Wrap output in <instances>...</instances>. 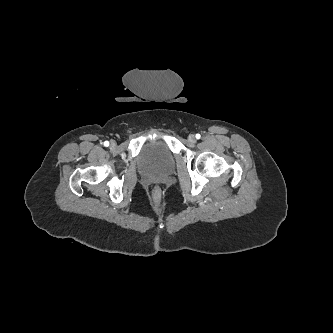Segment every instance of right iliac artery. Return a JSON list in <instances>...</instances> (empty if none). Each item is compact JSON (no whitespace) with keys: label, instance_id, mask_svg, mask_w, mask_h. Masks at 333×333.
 I'll list each match as a JSON object with an SVG mask.
<instances>
[{"label":"right iliac artery","instance_id":"obj_1","mask_svg":"<svg viewBox=\"0 0 333 333\" xmlns=\"http://www.w3.org/2000/svg\"><path fill=\"white\" fill-rule=\"evenodd\" d=\"M104 146L108 147V146H109V142H108V141H105V142H104Z\"/></svg>","mask_w":333,"mask_h":333}]
</instances>
